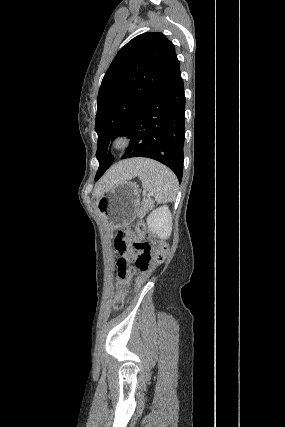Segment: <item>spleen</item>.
<instances>
[{"label":"spleen","instance_id":"3e777b00","mask_svg":"<svg viewBox=\"0 0 285 427\" xmlns=\"http://www.w3.org/2000/svg\"><path fill=\"white\" fill-rule=\"evenodd\" d=\"M145 191L153 194L157 203L174 200L178 191V180L166 166L154 160L145 159L137 175Z\"/></svg>","mask_w":285,"mask_h":427}]
</instances>
